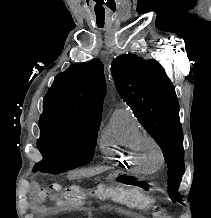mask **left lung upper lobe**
Segmentation results:
<instances>
[{"instance_id": "5c2ea615", "label": "left lung upper lobe", "mask_w": 211, "mask_h": 218, "mask_svg": "<svg viewBox=\"0 0 211 218\" xmlns=\"http://www.w3.org/2000/svg\"><path fill=\"white\" fill-rule=\"evenodd\" d=\"M111 70L121 98L163 151L168 166L169 197L181 202L178 188L184 173V150L174 86L156 60L137 55L115 58Z\"/></svg>"}]
</instances>
